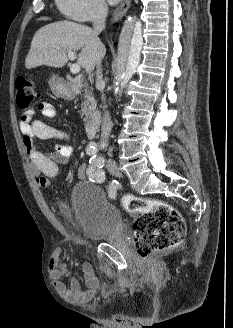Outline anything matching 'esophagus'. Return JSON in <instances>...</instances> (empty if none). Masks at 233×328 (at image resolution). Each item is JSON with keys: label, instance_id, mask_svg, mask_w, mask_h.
Masks as SVG:
<instances>
[{"label": "esophagus", "instance_id": "1", "mask_svg": "<svg viewBox=\"0 0 233 328\" xmlns=\"http://www.w3.org/2000/svg\"><path fill=\"white\" fill-rule=\"evenodd\" d=\"M131 1L132 0H123V2L121 3V5L114 11L113 15H112V22H118L120 19H122V17L126 14V12L128 11L130 5H131Z\"/></svg>", "mask_w": 233, "mask_h": 328}]
</instances>
